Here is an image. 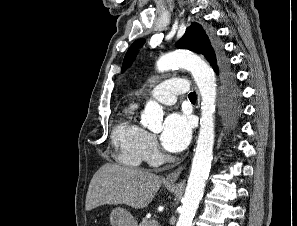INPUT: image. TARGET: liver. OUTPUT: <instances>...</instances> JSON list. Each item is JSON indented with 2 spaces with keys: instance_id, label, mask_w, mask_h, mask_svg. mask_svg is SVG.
Segmentation results:
<instances>
[{
  "instance_id": "obj_1",
  "label": "liver",
  "mask_w": 297,
  "mask_h": 226,
  "mask_svg": "<svg viewBox=\"0 0 297 226\" xmlns=\"http://www.w3.org/2000/svg\"><path fill=\"white\" fill-rule=\"evenodd\" d=\"M162 180L147 171L106 163L90 181L85 209L90 211L105 204L144 208L152 201Z\"/></svg>"
}]
</instances>
